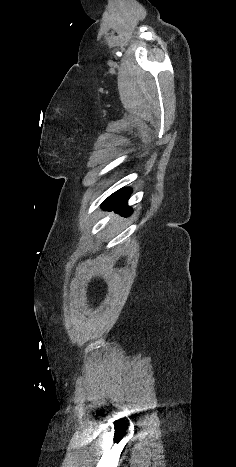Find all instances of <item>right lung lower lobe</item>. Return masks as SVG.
I'll return each instance as SVG.
<instances>
[{
  "mask_svg": "<svg viewBox=\"0 0 236 467\" xmlns=\"http://www.w3.org/2000/svg\"><path fill=\"white\" fill-rule=\"evenodd\" d=\"M130 193L131 189L123 188L109 196L103 202L102 207L108 209H119L126 215H129L131 213V208L127 206V199L129 198Z\"/></svg>",
  "mask_w": 236,
  "mask_h": 467,
  "instance_id": "1",
  "label": "right lung lower lobe"
}]
</instances>
